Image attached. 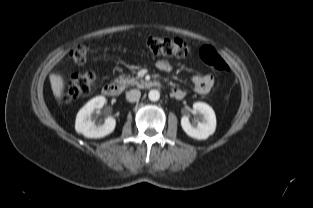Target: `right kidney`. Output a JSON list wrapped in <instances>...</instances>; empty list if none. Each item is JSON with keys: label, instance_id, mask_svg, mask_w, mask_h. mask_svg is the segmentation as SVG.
I'll return each instance as SVG.
<instances>
[{"label": "right kidney", "instance_id": "obj_1", "mask_svg": "<svg viewBox=\"0 0 313 208\" xmlns=\"http://www.w3.org/2000/svg\"><path fill=\"white\" fill-rule=\"evenodd\" d=\"M105 103L106 99L104 96H97L79 110L75 122L77 133L83 134L87 138H102L114 131L116 120L113 117H107L105 123L101 126H96L91 118L93 111L101 109Z\"/></svg>", "mask_w": 313, "mask_h": 208}]
</instances>
